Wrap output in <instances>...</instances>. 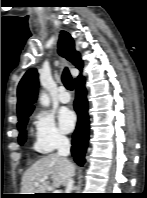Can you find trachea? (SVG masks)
Returning a JSON list of instances; mask_svg holds the SVG:
<instances>
[{"instance_id":"trachea-1","label":"trachea","mask_w":147,"mask_h":198,"mask_svg":"<svg viewBox=\"0 0 147 198\" xmlns=\"http://www.w3.org/2000/svg\"><path fill=\"white\" fill-rule=\"evenodd\" d=\"M62 82L68 90H73V80L68 68H64Z\"/></svg>"}]
</instances>
